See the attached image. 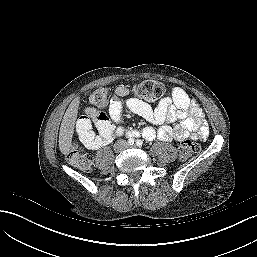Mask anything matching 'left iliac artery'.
Returning a JSON list of instances; mask_svg holds the SVG:
<instances>
[{"mask_svg": "<svg viewBox=\"0 0 257 257\" xmlns=\"http://www.w3.org/2000/svg\"><path fill=\"white\" fill-rule=\"evenodd\" d=\"M136 145L139 146V147H141V146L143 145V142H142L141 140H137V141H136Z\"/></svg>", "mask_w": 257, "mask_h": 257, "instance_id": "left-iliac-artery-1", "label": "left iliac artery"}]
</instances>
